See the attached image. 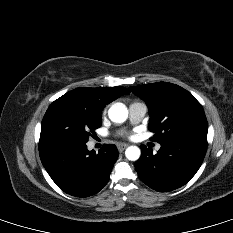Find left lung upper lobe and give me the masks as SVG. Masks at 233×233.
I'll return each mask as SVG.
<instances>
[{"instance_id":"1","label":"left lung upper lobe","mask_w":233,"mask_h":233,"mask_svg":"<svg viewBox=\"0 0 233 233\" xmlns=\"http://www.w3.org/2000/svg\"><path fill=\"white\" fill-rule=\"evenodd\" d=\"M149 108V130L160 143L199 139L207 141L208 123L201 104L184 88L157 82L129 88Z\"/></svg>"}]
</instances>
